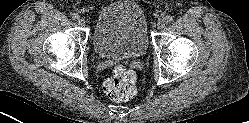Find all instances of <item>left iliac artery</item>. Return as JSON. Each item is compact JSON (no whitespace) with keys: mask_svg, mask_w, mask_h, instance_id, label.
<instances>
[{"mask_svg":"<svg viewBox=\"0 0 249 123\" xmlns=\"http://www.w3.org/2000/svg\"><path fill=\"white\" fill-rule=\"evenodd\" d=\"M164 19H165V21H166L167 23H171L172 20H173L172 16H170V15L165 16Z\"/></svg>","mask_w":249,"mask_h":123,"instance_id":"1","label":"left iliac artery"}]
</instances>
